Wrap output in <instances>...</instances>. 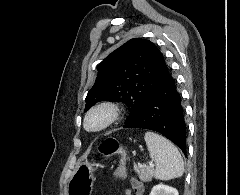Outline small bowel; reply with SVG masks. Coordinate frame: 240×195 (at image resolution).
I'll list each match as a JSON object with an SVG mask.
<instances>
[{
	"label": "small bowel",
	"mask_w": 240,
	"mask_h": 195,
	"mask_svg": "<svg viewBox=\"0 0 240 195\" xmlns=\"http://www.w3.org/2000/svg\"><path fill=\"white\" fill-rule=\"evenodd\" d=\"M145 187L137 178L130 180V188L124 190L123 195H144Z\"/></svg>",
	"instance_id": "obj_1"
}]
</instances>
